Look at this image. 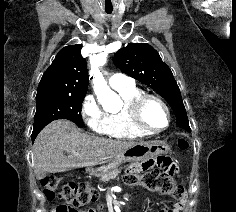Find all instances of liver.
Here are the masks:
<instances>
[{
	"mask_svg": "<svg viewBox=\"0 0 236 212\" xmlns=\"http://www.w3.org/2000/svg\"><path fill=\"white\" fill-rule=\"evenodd\" d=\"M138 143L89 135L68 120H56L47 125L34 142V169L38 174L90 167Z\"/></svg>",
	"mask_w": 236,
	"mask_h": 212,
	"instance_id": "1",
	"label": "liver"
}]
</instances>
